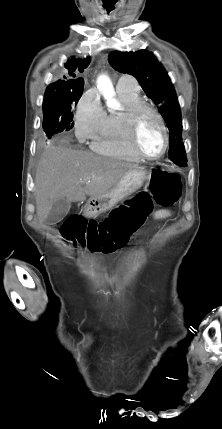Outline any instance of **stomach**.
<instances>
[{"instance_id": "1", "label": "stomach", "mask_w": 222, "mask_h": 429, "mask_svg": "<svg viewBox=\"0 0 222 429\" xmlns=\"http://www.w3.org/2000/svg\"><path fill=\"white\" fill-rule=\"evenodd\" d=\"M150 172L145 167H137L126 173L108 192L91 197L85 206V214L96 217L111 208L124 198L132 195L150 180Z\"/></svg>"}]
</instances>
